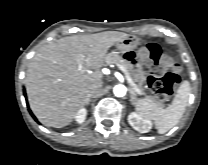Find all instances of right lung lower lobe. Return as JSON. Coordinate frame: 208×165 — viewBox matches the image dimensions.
<instances>
[{"instance_id": "98d812e1", "label": "right lung lower lobe", "mask_w": 208, "mask_h": 165, "mask_svg": "<svg viewBox=\"0 0 208 165\" xmlns=\"http://www.w3.org/2000/svg\"><path fill=\"white\" fill-rule=\"evenodd\" d=\"M24 96L26 97V94L24 92ZM30 114L32 115V117L37 121L36 117L33 115V113L31 112V110H29Z\"/></svg>"}]
</instances>
